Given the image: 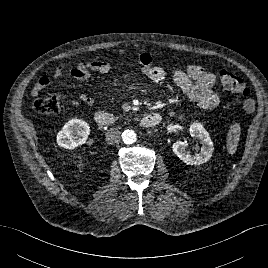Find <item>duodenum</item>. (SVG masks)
<instances>
[{
  "mask_svg": "<svg viewBox=\"0 0 268 268\" xmlns=\"http://www.w3.org/2000/svg\"><path fill=\"white\" fill-rule=\"evenodd\" d=\"M96 123L102 126H111L117 122V118L105 112H98L95 117ZM161 116L157 113L146 114L139 122L141 127L150 128L158 125Z\"/></svg>",
  "mask_w": 268,
  "mask_h": 268,
  "instance_id": "410a0bca",
  "label": "duodenum"
}]
</instances>
